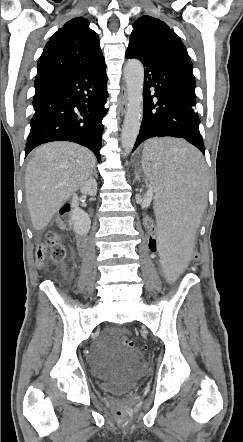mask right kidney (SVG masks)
<instances>
[{"label": "right kidney", "mask_w": 243, "mask_h": 442, "mask_svg": "<svg viewBox=\"0 0 243 442\" xmlns=\"http://www.w3.org/2000/svg\"><path fill=\"white\" fill-rule=\"evenodd\" d=\"M81 193L84 195L95 196L97 193V182L90 178L81 187ZM78 205L79 198L76 194H74L71 201V218L73 221L74 230L79 235H86L91 227L90 216L85 211L81 210Z\"/></svg>", "instance_id": "right-kidney-1"}]
</instances>
